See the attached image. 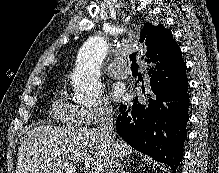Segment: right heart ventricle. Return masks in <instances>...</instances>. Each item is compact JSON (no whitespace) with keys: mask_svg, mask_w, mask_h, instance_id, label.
Listing matches in <instances>:
<instances>
[{"mask_svg":"<svg viewBox=\"0 0 219 173\" xmlns=\"http://www.w3.org/2000/svg\"><path fill=\"white\" fill-rule=\"evenodd\" d=\"M51 117L63 125H77L79 123L78 107L67 99L66 92L61 90L54 99L51 111Z\"/></svg>","mask_w":219,"mask_h":173,"instance_id":"e07e8e85","label":"right heart ventricle"}]
</instances>
